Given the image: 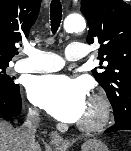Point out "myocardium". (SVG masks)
<instances>
[{"mask_svg": "<svg viewBox=\"0 0 131 151\" xmlns=\"http://www.w3.org/2000/svg\"><path fill=\"white\" fill-rule=\"evenodd\" d=\"M89 103L95 109V116L91 119H83L78 123V128L85 132H95L105 128L111 119V104L101 94H93Z\"/></svg>", "mask_w": 131, "mask_h": 151, "instance_id": "f54148a6", "label": "myocardium"}]
</instances>
